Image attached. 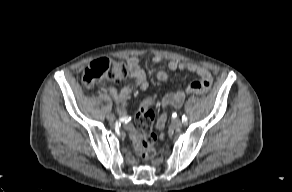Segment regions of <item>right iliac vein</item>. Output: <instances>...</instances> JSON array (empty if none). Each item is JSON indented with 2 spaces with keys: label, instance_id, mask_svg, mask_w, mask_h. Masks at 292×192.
<instances>
[{
  "label": "right iliac vein",
  "instance_id": "obj_1",
  "mask_svg": "<svg viewBox=\"0 0 292 192\" xmlns=\"http://www.w3.org/2000/svg\"><path fill=\"white\" fill-rule=\"evenodd\" d=\"M107 119L110 121V122H113L115 120V116L113 114H108L107 115Z\"/></svg>",
  "mask_w": 292,
  "mask_h": 192
}]
</instances>
